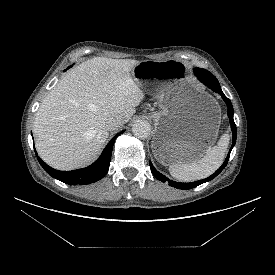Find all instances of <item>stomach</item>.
Here are the masks:
<instances>
[{"label": "stomach", "mask_w": 275, "mask_h": 275, "mask_svg": "<svg viewBox=\"0 0 275 275\" xmlns=\"http://www.w3.org/2000/svg\"><path fill=\"white\" fill-rule=\"evenodd\" d=\"M187 73L188 65L177 60H144L132 69L136 83L153 85L159 97L161 110L150 118L156 130L152 152L162 165L201 159L218 136L220 107L195 88Z\"/></svg>", "instance_id": "1"}]
</instances>
